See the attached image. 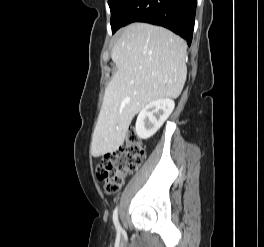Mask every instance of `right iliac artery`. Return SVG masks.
I'll return each instance as SVG.
<instances>
[{
	"instance_id": "obj_1",
	"label": "right iliac artery",
	"mask_w": 264,
	"mask_h": 247,
	"mask_svg": "<svg viewBox=\"0 0 264 247\" xmlns=\"http://www.w3.org/2000/svg\"><path fill=\"white\" fill-rule=\"evenodd\" d=\"M113 222L115 224L116 230L118 232H121L122 228H121L120 223L118 221V208L117 207L115 208V210L113 212Z\"/></svg>"
}]
</instances>
